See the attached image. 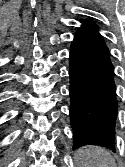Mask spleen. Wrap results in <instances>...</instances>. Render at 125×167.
<instances>
[{"mask_svg": "<svg viewBox=\"0 0 125 167\" xmlns=\"http://www.w3.org/2000/svg\"><path fill=\"white\" fill-rule=\"evenodd\" d=\"M77 167H118L115 158L105 148L88 145L74 153Z\"/></svg>", "mask_w": 125, "mask_h": 167, "instance_id": "obj_1", "label": "spleen"}]
</instances>
